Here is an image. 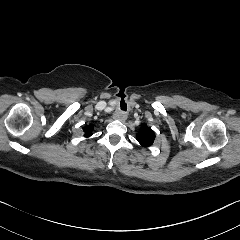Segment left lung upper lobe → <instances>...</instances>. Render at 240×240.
<instances>
[{"mask_svg": "<svg viewBox=\"0 0 240 240\" xmlns=\"http://www.w3.org/2000/svg\"><path fill=\"white\" fill-rule=\"evenodd\" d=\"M154 140V132L146 124L142 125L137 133V141L140 143V145L143 147L151 146Z\"/></svg>", "mask_w": 240, "mask_h": 240, "instance_id": "5c2ea615", "label": "left lung upper lobe"}]
</instances>
